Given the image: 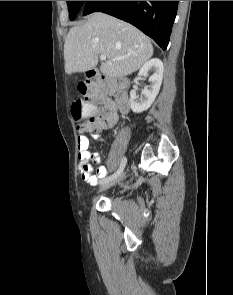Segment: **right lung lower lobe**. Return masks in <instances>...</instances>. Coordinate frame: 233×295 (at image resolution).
Returning <instances> with one entry per match:
<instances>
[{
    "label": "right lung lower lobe",
    "mask_w": 233,
    "mask_h": 295,
    "mask_svg": "<svg viewBox=\"0 0 233 295\" xmlns=\"http://www.w3.org/2000/svg\"><path fill=\"white\" fill-rule=\"evenodd\" d=\"M177 7L178 1H87L83 15L100 11L127 21L165 50Z\"/></svg>",
    "instance_id": "98d812e1"
}]
</instances>
